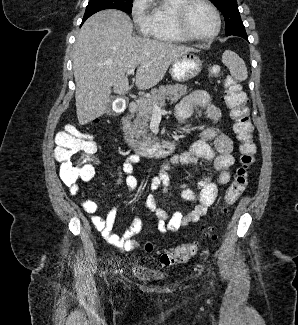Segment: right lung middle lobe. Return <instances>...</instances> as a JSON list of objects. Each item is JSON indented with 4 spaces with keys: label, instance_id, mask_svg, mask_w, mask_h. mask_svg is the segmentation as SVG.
Masks as SVG:
<instances>
[{
    "label": "right lung middle lobe",
    "instance_id": "right-lung-middle-lobe-1",
    "mask_svg": "<svg viewBox=\"0 0 298 325\" xmlns=\"http://www.w3.org/2000/svg\"><path fill=\"white\" fill-rule=\"evenodd\" d=\"M132 1L133 0H90L83 20H86L92 14L104 10V9H118L126 13L132 12Z\"/></svg>",
    "mask_w": 298,
    "mask_h": 325
}]
</instances>
